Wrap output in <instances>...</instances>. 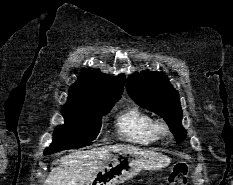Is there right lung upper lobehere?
<instances>
[{"instance_id":"cb5924a9","label":"right lung upper lobe","mask_w":233,"mask_h":185,"mask_svg":"<svg viewBox=\"0 0 233 185\" xmlns=\"http://www.w3.org/2000/svg\"><path fill=\"white\" fill-rule=\"evenodd\" d=\"M124 75L111 78L100 72L82 73L69 89L67 104L93 105L106 101H118L124 89Z\"/></svg>"}]
</instances>
